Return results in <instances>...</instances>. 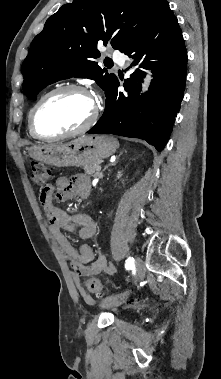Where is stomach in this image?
<instances>
[{
    "label": "stomach",
    "mask_w": 221,
    "mask_h": 379,
    "mask_svg": "<svg viewBox=\"0 0 221 379\" xmlns=\"http://www.w3.org/2000/svg\"><path fill=\"white\" fill-rule=\"evenodd\" d=\"M118 141L109 135L81 136L68 143H53L36 146L29 155L39 162L57 167L84 166L101 162L118 148Z\"/></svg>",
    "instance_id": "obj_1"
}]
</instances>
